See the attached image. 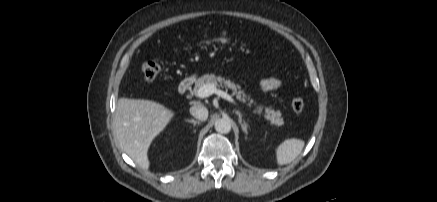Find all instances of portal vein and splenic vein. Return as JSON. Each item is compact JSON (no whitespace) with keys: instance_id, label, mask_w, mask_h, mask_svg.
Segmentation results:
<instances>
[{"instance_id":"18ae733b","label":"portal vein and splenic vein","mask_w":437,"mask_h":202,"mask_svg":"<svg viewBox=\"0 0 437 202\" xmlns=\"http://www.w3.org/2000/svg\"><path fill=\"white\" fill-rule=\"evenodd\" d=\"M214 93L231 103H235L234 99L229 94H227L222 90L217 89L213 84H206L202 86L201 88L198 89L196 95L199 98H206Z\"/></svg>"}]
</instances>
